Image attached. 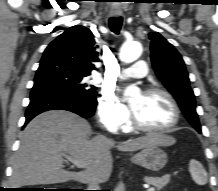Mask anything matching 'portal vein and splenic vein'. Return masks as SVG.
Returning a JSON list of instances; mask_svg holds the SVG:
<instances>
[{
	"label": "portal vein and splenic vein",
	"mask_w": 218,
	"mask_h": 191,
	"mask_svg": "<svg viewBox=\"0 0 218 191\" xmlns=\"http://www.w3.org/2000/svg\"><path fill=\"white\" fill-rule=\"evenodd\" d=\"M64 157L67 158L70 162H72L74 164V166H76L77 168H85L86 167V163L83 161H80L72 156H67L65 154H64ZM147 191H155V188L149 187L147 189Z\"/></svg>",
	"instance_id": "1"
}]
</instances>
